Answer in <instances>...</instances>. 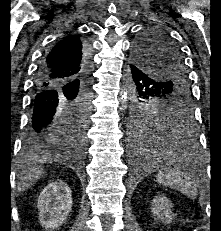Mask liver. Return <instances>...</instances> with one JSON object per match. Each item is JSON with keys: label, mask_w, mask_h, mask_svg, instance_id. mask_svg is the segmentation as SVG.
Listing matches in <instances>:
<instances>
[{"label": "liver", "mask_w": 221, "mask_h": 231, "mask_svg": "<svg viewBox=\"0 0 221 231\" xmlns=\"http://www.w3.org/2000/svg\"><path fill=\"white\" fill-rule=\"evenodd\" d=\"M51 156L46 155L42 157V161L46 159H50ZM43 171L39 168H32L25 172V175L20 179L18 183V192L24 191L25 189L32 186L36 181L40 179L42 176Z\"/></svg>", "instance_id": "liver-1"}]
</instances>
